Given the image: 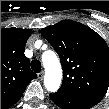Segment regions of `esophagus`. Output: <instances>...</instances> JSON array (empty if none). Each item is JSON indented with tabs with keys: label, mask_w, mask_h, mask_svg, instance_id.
I'll use <instances>...</instances> for the list:
<instances>
[{
	"label": "esophagus",
	"mask_w": 109,
	"mask_h": 109,
	"mask_svg": "<svg viewBox=\"0 0 109 109\" xmlns=\"http://www.w3.org/2000/svg\"><path fill=\"white\" fill-rule=\"evenodd\" d=\"M37 76L40 80H42L44 77V72L42 71V72L38 73Z\"/></svg>",
	"instance_id": "obj_1"
}]
</instances>
